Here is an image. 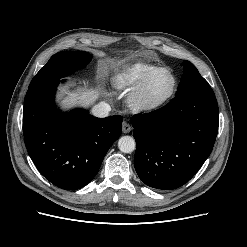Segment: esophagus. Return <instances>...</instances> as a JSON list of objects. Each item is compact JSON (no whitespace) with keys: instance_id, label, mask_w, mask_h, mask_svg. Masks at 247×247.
Returning a JSON list of instances; mask_svg holds the SVG:
<instances>
[{"instance_id":"34e87169","label":"esophagus","mask_w":247,"mask_h":247,"mask_svg":"<svg viewBox=\"0 0 247 247\" xmlns=\"http://www.w3.org/2000/svg\"><path fill=\"white\" fill-rule=\"evenodd\" d=\"M131 129H132V127L129 123L123 122V124H122V132L123 133H125V134L129 133L131 131Z\"/></svg>"}]
</instances>
